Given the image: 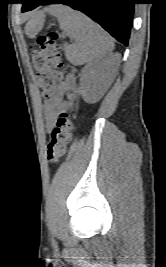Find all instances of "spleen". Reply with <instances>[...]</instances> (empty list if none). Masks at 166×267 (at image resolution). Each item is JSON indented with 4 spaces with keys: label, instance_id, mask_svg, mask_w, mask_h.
<instances>
[{
    "label": "spleen",
    "instance_id": "1",
    "mask_svg": "<svg viewBox=\"0 0 166 267\" xmlns=\"http://www.w3.org/2000/svg\"><path fill=\"white\" fill-rule=\"evenodd\" d=\"M45 13L56 17L60 28L75 42L68 46L66 57L74 65L94 61L114 48L111 37L94 21L65 5H50L36 13L29 22V31L42 28Z\"/></svg>",
    "mask_w": 166,
    "mask_h": 267
}]
</instances>
